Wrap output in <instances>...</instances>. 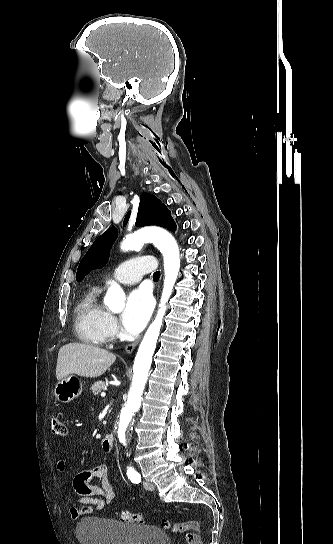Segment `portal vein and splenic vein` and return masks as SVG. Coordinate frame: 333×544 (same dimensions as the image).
Instances as JSON below:
<instances>
[{
  "label": "portal vein and splenic vein",
  "mask_w": 333,
  "mask_h": 544,
  "mask_svg": "<svg viewBox=\"0 0 333 544\" xmlns=\"http://www.w3.org/2000/svg\"><path fill=\"white\" fill-rule=\"evenodd\" d=\"M106 396V393L105 392H102L101 393V397H105Z\"/></svg>",
  "instance_id": "18ae733b"
}]
</instances>
